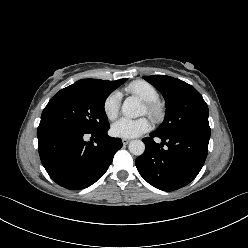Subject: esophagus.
I'll return each mask as SVG.
<instances>
[{
    "instance_id": "esophagus-1",
    "label": "esophagus",
    "mask_w": 248,
    "mask_h": 248,
    "mask_svg": "<svg viewBox=\"0 0 248 248\" xmlns=\"http://www.w3.org/2000/svg\"><path fill=\"white\" fill-rule=\"evenodd\" d=\"M130 141H131L130 139H126V138H123V139H122V143H123L124 145H127Z\"/></svg>"
}]
</instances>
